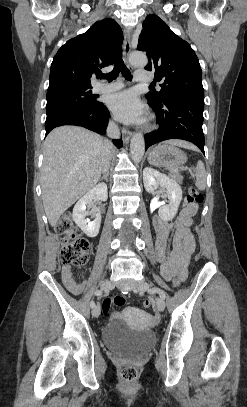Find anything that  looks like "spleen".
Segmentation results:
<instances>
[{
    "mask_svg": "<svg viewBox=\"0 0 247 407\" xmlns=\"http://www.w3.org/2000/svg\"><path fill=\"white\" fill-rule=\"evenodd\" d=\"M195 176H196V187L199 190H204L206 188V170L204 163L198 161L195 167Z\"/></svg>",
    "mask_w": 247,
    "mask_h": 407,
    "instance_id": "obj_1",
    "label": "spleen"
}]
</instances>
